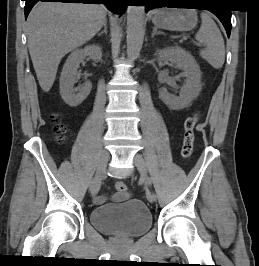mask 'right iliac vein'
Masks as SVG:
<instances>
[{
  "instance_id": "63e3f726",
  "label": "right iliac vein",
  "mask_w": 259,
  "mask_h": 266,
  "mask_svg": "<svg viewBox=\"0 0 259 266\" xmlns=\"http://www.w3.org/2000/svg\"><path fill=\"white\" fill-rule=\"evenodd\" d=\"M108 161H109V153H108V151L107 150H102V152L100 154L99 161H98L96 174H95V177L93 179L94 185L90 189V192H91L92 196H95L98 193V191H99L100 184H101V181H102V179L104 177Z\"/></svg>"
}]
</instances>
